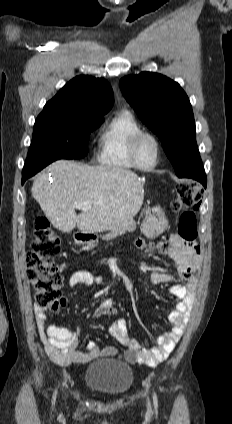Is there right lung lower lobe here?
<instances>
[{
    "label": "right lung lower lobe",
    "mask_w": 232,
    "mask_h": 424,
    "mask_svg": "<svg viewBox=\"0 0 232 424\" xmlns=\"http://www.w3.org/2000/svg\"><path fill=\"white\" fill-rule=\"evenodd\" d=\"M53 161L45 162L40 165H37L35 168L28 170V171H22V184L28 179L29 177L35 175L37 172L45 168L48 164H50Z\"/></svg>",
    "instance_id": "1"
}]
</instances>
